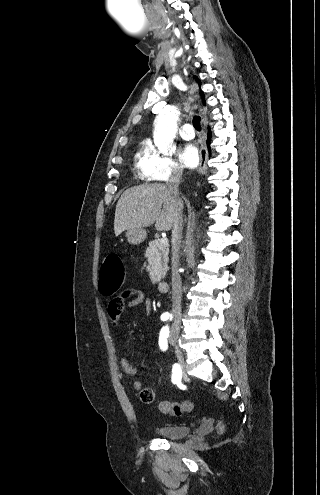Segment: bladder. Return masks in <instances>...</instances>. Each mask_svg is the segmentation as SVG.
I'll return each mask as SVG.
<instances>
[{
    "mask_svg": "<svg viewBox=\"0 0 320 495\" xmlns=\"http://www.w3.org/2000/svg\"><path fill=\"white\" fill-rule=\"evenodd\" d=\"M191 428L189 425L183 424H166L157 425L152 428V431L161 437L169 439H178L189 434Z\"/></svg>",
    "mask_w": 320,
    "mask_h": 495,
    "instance_id": "31cf9c89",
    "label": "bladder"
}]
</instances>
